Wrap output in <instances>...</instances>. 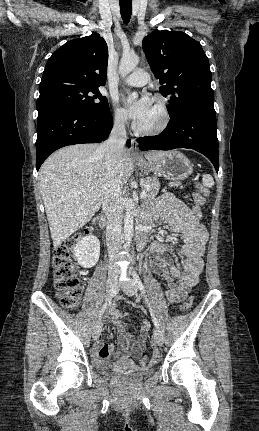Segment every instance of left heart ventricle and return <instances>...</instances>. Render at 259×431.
<instances>
[{
	"label": "left heart ventricle",
	"mask_w": 259,
	"mask_h": 431,
	"mask_svg": "<svg viewBox=\"0 0 259 431\" xmlns=\"http://www.w3.org/2000/svg\"><path fill=\"white\" fill-rule=\"evenodd\" d=\"M160 119H161V115H160L159 109L156 106V104L152 102V105L150 107L148 114L142 121L137 123V125L143 129H151L159 124Z\"/></svg>",
	"instance_id": "left-heart-ventricle-1"
}]
</instances>
